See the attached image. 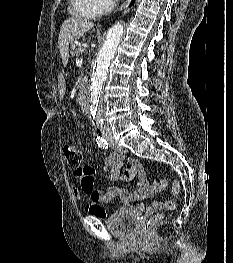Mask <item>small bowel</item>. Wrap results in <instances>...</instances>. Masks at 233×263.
Returning <instances> with one entry per match:
<instances>
[{"label":"small bowel","mask_w":233,"mask_h":263,"mask_svg":"<svg viewBox=\"0 0 233 263\" xmlns=\"http://www.w3.org/2000/svg\"><path fill=\"white\" fill-rule=\"evenodd\" d=\"M125 158L119 153H111L103 163V170L107 178L116 182L118 180L136 181L133 190H128L118 185H111L106 191H101L95 186L94 174L95 170L90 165L83 166L89 170L88 173L75 174L81 180L82 191L90 198V204L86 210L95 217L100 219H108L107 212L100 204H106L113 201L116 197L120 199L123 208L133 211L154 212L164 207L165 202H159L151 199L154 189L150 185L144 167L135 159H129V166L124 168ZM74 195L80 198V190L78 187L73 188ZM151 199L149 204L145 205L140 202ZM138 202L136 205L132 203Z\"/></svg>","instance_id":"obj_1"}]
</instances>
